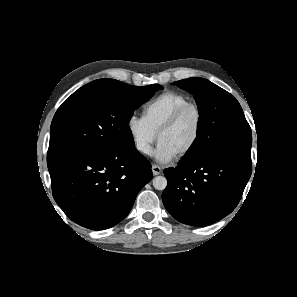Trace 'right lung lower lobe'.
<instances>
[{"mask_svg": "<svg viewBox=\"0 0 297 297\" xmlns=\"http://www.w3.org/2000/svg\"><path fill=\"white\" fill-rule=\"evenodd\" d=\"M48 169L56 203L72 221L92 230L124 219L153 177L150 163L134 146L75 153Z\"/></svg>", "mask_w": 297, "mask_h": 297, "instance_id": "obj_1", "label": "right lung lower lobe"}]
</instances>
